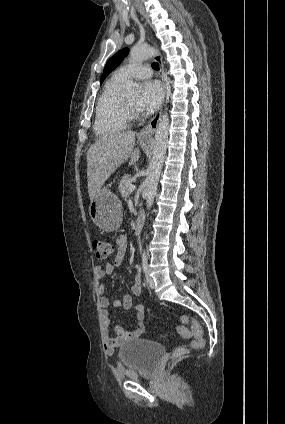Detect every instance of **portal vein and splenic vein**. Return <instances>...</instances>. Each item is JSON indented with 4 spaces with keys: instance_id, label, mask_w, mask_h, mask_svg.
<instances>
[{
    "instance_id": "portal-vein-and-splenic-vein-1",
    "label": "portal vein and splenic vein",
    "mask_w": 285,
    "mask_h": 424,
    "mask_svg": "<svg viewBox=\"0 0 285 424\" xmlns=\"http://www.w3.org/2000/svg\"><path fill=\"white\" fill-rule=\"evenodd\" d=\"M135 190V186L134 185H131L130 187H129V191L130 192H133Z\"/></svg>"
}]
</instances>
